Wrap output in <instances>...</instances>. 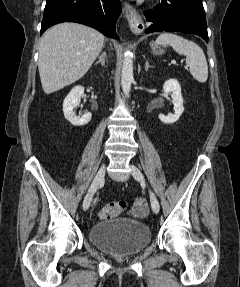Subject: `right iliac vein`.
Segmentation results:
<instances>
[{
  "label": "right iliac vein",
  "mask_w": 240,
  "mask_h": 287,
  "mask_svg": "<svg viewBox=\"0 0 240 287\" xmlns=\"http://www.w3.org/2000/svg\"><path fill=\"white\" fill-rule=\"evenodd\" d=\"M105 176V164L101 166L95 175L92 184L83 200V209L87 210L91 204L92 198L98 187L102 184Z\"/></svg>",
  "instance_id": "1"
}]
</instances>
